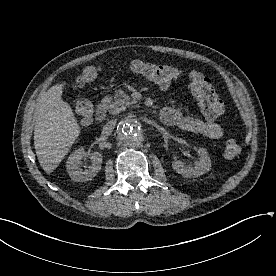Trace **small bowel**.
Segmentation results:
<instances>
[{
  "label": "small bowel",
  "mask_w": 276,
  "mask_h": 276,
  "mask_svg": "<svg viewBox=\"0 0 276 276\" xmlns=\"http://www.w3.org/2000/svg\"><path fill=\"white\" fill-rule=\"evenodd\" d=\"M160 117L166 125L198 133L210 139H219L223 135V128L220 124L186 116L173 103L161 110Z\"/></svg>",
  "instance_id": "1"
}]
</instances>
